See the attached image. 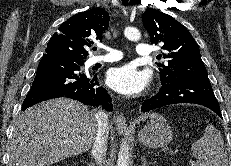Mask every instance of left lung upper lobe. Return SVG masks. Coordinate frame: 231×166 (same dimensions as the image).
<instances>
[{"label": "left lung upper lobe", "instance_id": "1", "mask_svg": "<svg viewBox=\"0 0 231 166\" xmlns=\"http://www.w3.org/2000/svg\"><path fill=\"white\" fill-rule=\"evenodd\" d=\"M142 21L150 34L151 43L163 44L162 56L168 61V65H160L161 82L178 77L208 79L199 47L186 27L156 9L146 10Z\"/></svg>", "mask_w": 231, "mask_h": 166}]
</instances>
